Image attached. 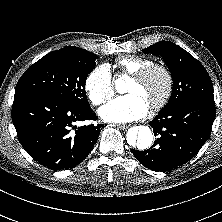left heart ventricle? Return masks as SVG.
<instances>
[{"instance_id": "left-heart-ventricle-1", "label": "left heart ventricle", "mask_w": 222, "mask_h": 222, "mask_svg": "<svg viewBox=\"0 0 222 222\" xmlns=\"http://www.w3.org/2000/svg\"><path fill=\"white\" fill-rule=\"evenodd\" d=\"M165 89V77L160 72H154L145 81L130 80L127 93L140 95L149 106L154 104L162 96Z\"/></svg>"}]
</instances>
